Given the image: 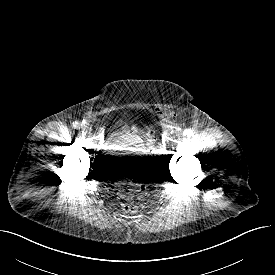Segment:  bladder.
Returning <instances> with one entry per match:
<instances>
[{
    "label": "bladder",
    "instance_id": "1",
    "mask_svg": "<svg viewBox=\"0 0 275 275\" xmlns=\"http://www.w3.org/2000/svg\"><path fill=\"white\" fill-rule=\"evenodd\" d=\"M106 165L117 176L143 178L151 173L154 158L148 150V138L140 130L117 131L107 139Z\"/></svg>",
    "mask_w": 275,
    "mask_h": 275
}]
</instances>
